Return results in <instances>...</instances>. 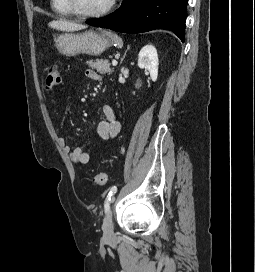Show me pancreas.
Wrapping results in <instances>:
<instances>
[{"label": "pancreas", "instance_id": "obj_1", "mask_svg": "<svg viewBox=\"0 0 255 272\" xmlns=\"http://www.w3.org/2000/svg\"><path fill=\"white\" fill-rule=\"evenodd\" d=\"M87 64L90 68L95 69L100 74L110 75L114 71V68L110 67V63L106 59H96L95 61L90 60L87 61Z\"/></svg>", "mask_w": 255, "mask_h": 272}]
</instances>
